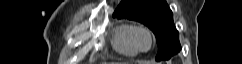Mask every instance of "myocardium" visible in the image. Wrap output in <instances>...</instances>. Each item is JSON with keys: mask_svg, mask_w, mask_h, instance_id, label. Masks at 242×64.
Masks as SVG:
<instances>
[{"mask_svg": "<svg viewBox=\"0 0 242 64\" xmlns=\"http://www.w3.org/2000/svg\"><path fill=\"white\" fill-rule=\"evenodd\" d=\"M141 34L146 35L149 40V44L146 48L141 47L140 44L138 43V36ZM130 37H131V42L133 46L138 52H147L152 48L154 44V35L152 31L145 25L133 26Z\"/></svg>", "mask_w": 242, "mask_h": 64, "instance_id": "obj_1", "label": "myocardium"}]
</instances>
